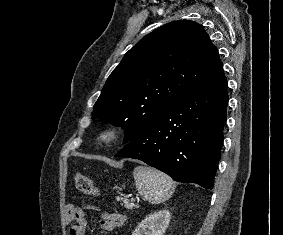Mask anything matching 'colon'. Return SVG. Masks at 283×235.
I'll use <instances>...</instances> for the list:
<instances>
[{
  "instance_id": "colon-1",
  "label": "colon",
  "mask_w": 283,
  "mask_h": 235,
  "mask_svg": "<svg viewBox=\"0 0 283 235\" xmlns=\"http://www.w3.org/2000/svg\"><path fill=\"white\" fill-rule=\"evenodd\" d=\"M74 181L76 187L83 194L87 196H97L99 194V189L96 187L95 183L89 176L78 172L75 174Z\"/></svg>"
}]
</instances>
